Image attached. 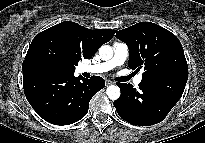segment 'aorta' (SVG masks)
<instances>
[{
	"label": "aorta",
	"instance_id": "obj_1",
	"mask_svg": "<svg viewBox=\"0 0 205 143\" xmlns=\"http://www.w3.org/2000/svg\"><path fill=\"white\" fill-rule=\"evenodd\" d=\"M99 55L102 60H110L113 57V50L109 45H103L99 49ZM106 94L111 100H117L120 97V88L116 85L107 87Z\"/></svg>",
	"mask_w": 205,
	"mask_h": 143
}]
</instances>
